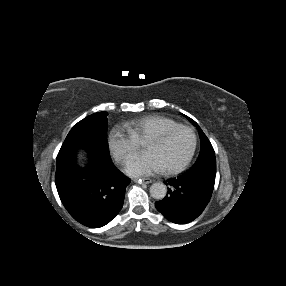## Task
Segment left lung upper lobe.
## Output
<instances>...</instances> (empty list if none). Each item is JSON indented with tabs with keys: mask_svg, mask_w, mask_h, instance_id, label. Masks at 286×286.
Wrapping results in <instances>:
<instances>
[{
	"mask_svg": "<svg viewBox=\"0 0 286 286\" xmlns=\"http://www.w3.org/2000/svg\"><path fill=\"white\" fill-rule=\"evenodd\" d=\"M187 117V116H186ZM188 120L193 123L198 129H199V135H200V140H201V150L199 153V156L197 158V161L195 162V165L211 161V160H216L215 159V152L214 149L209 141V139L206 137V135L203 133V131L200 129L198 124L192 120L191 118L187 117ZM194 165V166H195Z\"/></svg>",
	"mask_w": 286,
	"mask_h": 286,
	"instance_id": "1",
	"label": "left lung upper lobe"
}]
</instances>
